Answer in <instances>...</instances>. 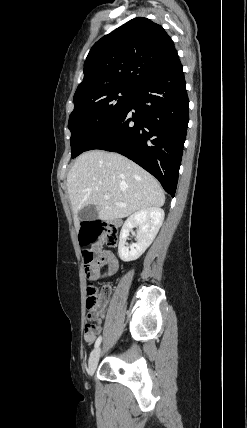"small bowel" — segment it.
Returning <instances> with one entry per match:
<instances>
[{
	"instance_id": "small-bowel-1",
	"label": "small bowel",
	"mask_w": 247,
	"mask_h": 428,
	"mask_svg": "<svg viewBox=\"0 0 247 428\" xmlns=\"http://www.w3.org/2000/svg\"><path fill=\"white\" fill-rule=\"evenodd\" d=\"M101 260H102L101 263L108 265L106 274H112L117 270L118 263L115 257L110 252H107V251L103 252ZM99 277H101L100 265H96L94 268L93 278L97 279ZM95 326H96V329L93 334L85 335V340L87 342H90V343L93 342L96 338V335L101 330L100 320L97 319V323L95 324Z\"/></svg>"
}]
</instances>
